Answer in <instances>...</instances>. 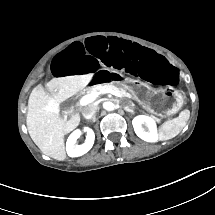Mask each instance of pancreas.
I'll use <instances>...</instances> for the list:
<instances>
[{
  "label": "pancreas",
  "instance_id": "1",
  "mask_svg": "<svg viewBox=\"0 0 215 215\" xmlns=\"http://www.w3.org/2000/svg\"><path fill=\"white\" fill-rule=\"evenodd\" d=\"M104 86H113L115 90L121 91L118 87L114 86L112 83H105V84H98V85H94V86H91V87H87V88H85V92L87 94L94 93V92H97V91L103 89ZM156 119L159 121L158 118H156Z\"/></svg>",
  "mask_w": 215,
  "mask_h": 215
}]
</instances>
